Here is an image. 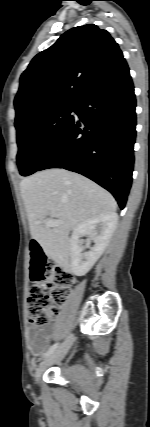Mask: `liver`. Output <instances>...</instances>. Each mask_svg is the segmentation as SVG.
<instances>
[{
	"mask_svg": "<svg viewBox=\"0 0 150 427\" xmlns=\"http://www.w3.org/2000/svg\"><path fill=\"white\" fill-rule=\"evenodd\" d=\"M31 237L48 257L67 266L69 233L82 222L114 213L113 196L80 174L53 168L37 172L20 182ZM47 217L63 223L49 227Z\"/></svg>",
	"mask_w": 150,
	"mask_h": 427,
	"instance_id": "1",
	"label": "liver"
}]
</instances>
